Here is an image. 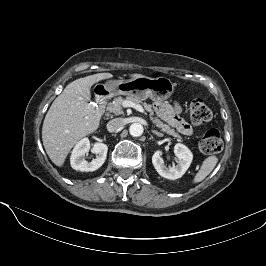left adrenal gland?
<instances>
[{
  "label": "left adrenal gland",
  "mask_w": 266,
  "mask_h": 266,
  "mask_svg": "<svg viewBox=\"0 0 266 266\" xmlns=\"http://www.w3.org/2000/svg\"><path fill=\"white\" fill-rule=\"evenodd\" d=\"M152 133L158 135V136H163L162 133L158 132L157 130H152Z\"/></svg>",
  "instance_id": "obj_1"
}]
</instances>
